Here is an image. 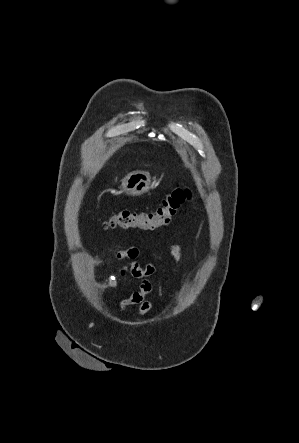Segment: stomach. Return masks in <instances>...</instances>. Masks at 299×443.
<instances>
[{"label":"stomach","instance_id":"1","mask_svg":"<svg viewBox=\"0 0 299 443\" xmlns=\"http://www.w3.org/2000/svg\"><path fill=\"white\" fill-rule=\"evenodd\" d=\"M151 178L149 173L134 171L127 174L122 180V190L129 196H140L150 189Z\"/></svg>","mask_w":299,"mask_h":443}]
</instances>
